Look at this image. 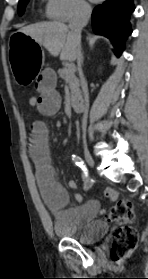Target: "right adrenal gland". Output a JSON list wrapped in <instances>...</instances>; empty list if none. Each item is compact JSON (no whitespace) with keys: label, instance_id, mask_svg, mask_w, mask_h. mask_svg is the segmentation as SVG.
I'll list each match as a JSON object with an SVG mask.
<instances>
[{"label":"right adrenal gland","instance_id":"1","mask_svg":"<svg viewBox=\"0 0 148 279\" xmlns=\"http://www.w3.org/2000/svg\"><path fill=\"white\" fill-rule=\"evenodd\" d=\"M81 63L83 64V55H82V57H81Z\"/></svg>","mask_w":148,"mask_h":279}]
</instances>
